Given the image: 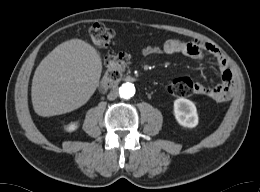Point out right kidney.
Returning <instances> with one entry per match:
<instances>
[{"label":"right kidney","mask_w":260,"mask_h":192,"mask_svg":"<svg viewBox=\"0 0 260 192\" xmlns=\"http://www.w3.org/2000/svg\"><path fill=\"white\" fill-rule=\"evenodd\" d=\"M78 124H79L78 122L71 123L67 126L66 130L68 132H72L78 128Z\"/></svg>","instance_id":"1"}]
</instances>
